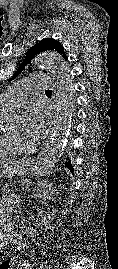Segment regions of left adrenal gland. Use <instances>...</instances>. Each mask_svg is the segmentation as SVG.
I'll return each mask as SVG.
<instances>
[{"mask_svg": "<svg viewBox=\"0 0 118 269\" xmlns=\"http://www.w3.org/2000/svg\"><path fill=\"white\" fill-rule=\"evenodd\" d=\"M26 183V186H28L30 184V182L27 180L24 182V184Z\"/></svg>", "mask_w": 118, "mask_h": 269, "instance_id": "obj_1", "label": "left adrenal gland"}]
</instances>
